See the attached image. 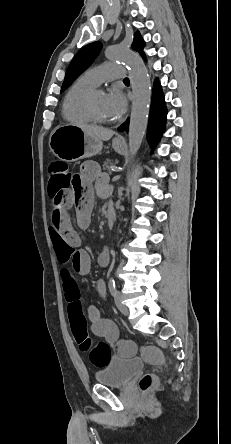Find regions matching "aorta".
Listing matches in <instances>:
<instances>
[{
  "label": "aorta",
  "instance_id": "762f6f07",
  "mask_svg": "<svg viewBox=\"0 0 231 444\" xmlns=\"http://www.w3.org/2000/svg\"><path fill=\"white\" fill-rule=\"evenodd\" d=\"M106 55L109 59L124 62L130 70L133 100L129 126V148L131 155H135L141 146L149 115L151 82L148 70L138 54L120 46L108 47Z\"/></svg>",
  "mask_w": 231,
  "mask_h": 444
}]
</instances>
